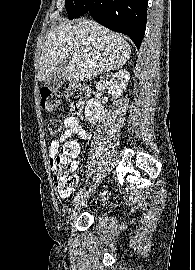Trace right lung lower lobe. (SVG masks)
I'll list each match as a JSON object with an SVG mask.
<instances>
[{
    "mask_svg": "<svg viewBox=\"0 0 195 270\" xmlns=\"http://www.w3.org/2000/svg\"><path fill=\"white\" fill-rule=\"evenodd\" d=\"M88 11L98 23L123 33L140 48L146 29L148 0H87Z\"/></svg>",
    "mask_w": 195,
    "mask_h": 270,
    "instance_id": "right-lung-lower-lobe-1",
    "label": "right lung lower lobe"
}]
</instances>
